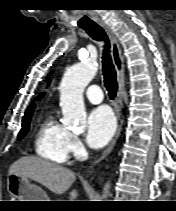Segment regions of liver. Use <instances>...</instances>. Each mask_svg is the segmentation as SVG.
Masks as SVG:
<instances>
[{
  "label": "liver",
  "mask_w": 176,
  "mask_h": 211,
  "mask_svg": "<svg viewBox=\"0 0 176 211\" xmlns=\"http://www.w3.org/2000/svg\"><path fill=\"white\" fill-rule=\"evenodd\" d=\"M9 174L30 178L55 194L67 191L76 178L74 172L68 168L31 156L15 161L9 168ZM77 196V190L70 192V199H76Z\"/></svg>",
  "instance_id": "6515ba94"
}]
</instances>
